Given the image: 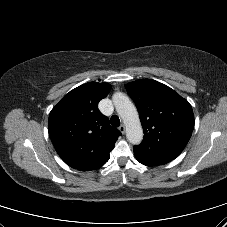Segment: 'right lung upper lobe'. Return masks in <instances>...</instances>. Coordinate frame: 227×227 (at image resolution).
Wrapping results in <instances>:
<instances>
[{"mask_svg": "<svg viewBox=\"0 0 227 227\" xmlns=\"http://www.w3.org/2000/svg\"><path fill=\"white\" fill-rule=\"evenodd\" d=\"M110 88L108 83L83 84L66 94L50 112L51 141L62 160L74 169L97 166L121 135L98 109Z\"/></svg>", "mask_w": 227, "mask_h": 227, "instance_id": "obj_1", "label": "right lung upper lobe"}]
</instances>
